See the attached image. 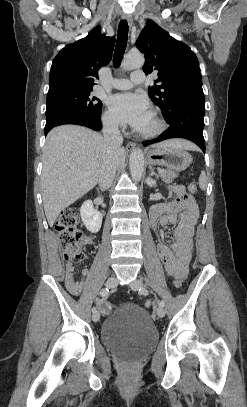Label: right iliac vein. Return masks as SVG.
I'll return each instance as SVG.
<instances>
[{"mask_svg":"<svg viewBox=\"0 0 247 407\" xmlns=\"http://www.w3.org/2000/svg\"><path fill=\"white\" fill-rule=\"evenodd\" d=\"M118 280L115 276H111L107 279L106 281V286L109 288H114L117 286ZM100 319V313L99 312H94L92 315V320L94 322H97Z\"/></svg>","mask_w":247,"mask_h":407,"instance_id":"obj_1","label":"right iliac vein"}]
</instances>
